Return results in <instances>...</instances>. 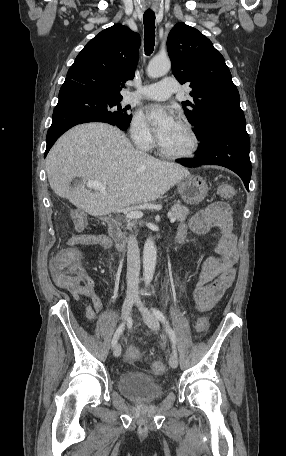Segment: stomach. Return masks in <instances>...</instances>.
<instances>
[{"instance_id":"obj_1","label":"stomach","mask_w":286,"mask_h":456,"mask_svg":"<svg viewBox=\"0 0 286 456\" xmlns=\"http://www.w3.org/2000/svg\"><path fill=\"white\" fill-rule=\"evenodd\" d=\"M208 185L200 176H189L178 184L182 200L189 205L199 204L207 196Z\"/></svg>"}]
</instances>
